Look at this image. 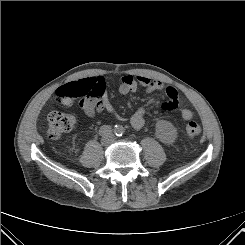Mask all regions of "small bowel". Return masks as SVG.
Instances as JSON below:
<instances>
[{
	"label": "small bowel",
	"mask_w": 245,
	"mask_h": 245,
	"mask_svg": "<svg viewBox=\"0 0 245 245\" xmlns=\"http://www.w3.org/2000/svg\"><path fill=\"white\" fill-rule=\"evenodd\" d=\"M87 79H91L96 83L99 89V94L95 97L87 98L81 103L84 113L88 117H93L96 113L105 110L115 119L124 121L125 118L116 112L109 101L106 94V84L104 78L102 76H96ZM138 88H142L148 98L146 103L139 107L129 118L130 124L137 130L144 128L147 107L156 102V98L153 95L154 92H161L167 97V101L161 105L164 110H174L179 106V96L175 88L172 86H165L159 80H153L144 75H126L118 80V92L121 95H127L130 92L136 91ZM181 116L185 120H191L194 118L195 113L191 109L183 108L181 110Z\"/></svg>",
	"instance_id": "c3829d8e"
}]
</instances>
